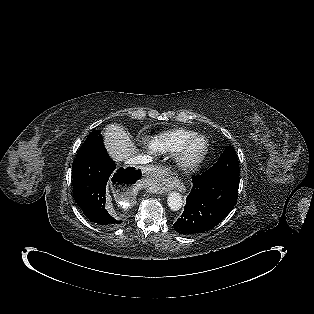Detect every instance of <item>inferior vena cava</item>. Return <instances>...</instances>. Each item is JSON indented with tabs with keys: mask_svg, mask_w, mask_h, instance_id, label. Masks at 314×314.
<instances>
[{
	"mask_svg": "<svg viewBox=\"0 0 314 314\" xmlns=\"http://www.w3.org/2000/svg\"><path fill=\"white\" fill-rule=\"evenodd\" d=\"M152 161V157L148 155H137L126 160V164L138 165L147 164Z\"/></svg>",
	"mask_w": 314,
	"mask_h": 314,
	"instance_id": "obj_1",
	"label": "inferior vena cava"
}]
</instances>
